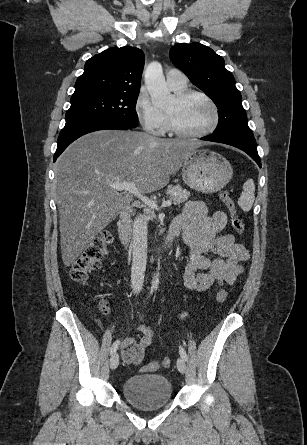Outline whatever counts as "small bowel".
Instances as JSON below:
<instances>
[{"label": "small bowel", "mask_w": 307, "mask_h": 445, "mask_svg": "<svg viewBox=\"0 0 307 445\" xmlns=\"http://www.w3.org/2000/svg\"><path fill=\"white\" fill-rule=\"evenodd\" d=\"M226 224L225 212L210 214L201 201H188L172 221L171 227L190 248L183 275L187 289L204 292L214 286L231 285L243 272V263L250 257L248 248L245 243L237 242L234 235L221 233ZM138 329L141 335L126 338L121 344L123 362L134 366L142 363L154 336L153 330L144 324Z\"/></svg>", "instance_id": "1"}]
</instances>
